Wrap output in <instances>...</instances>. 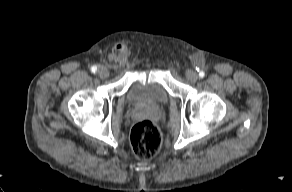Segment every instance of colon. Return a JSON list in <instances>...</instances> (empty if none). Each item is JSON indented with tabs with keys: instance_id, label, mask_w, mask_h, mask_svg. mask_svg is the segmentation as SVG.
<instances>
[{
	"instance_id": "5ec220e1",
	"label": "colon",
	"mask_w": 292,
	"mask_h": 192,
	"mask_svg": "<svg viewBox=\"0 0 292 192\" xmlns=\"http://www.w3.org/2000/svg\"><path fill=\"white\" fill-rule=\"evenodd\" d=\"M131 146L135 156L148 160L156 156L161 148V135L149 120L140 121L131 131Z\"/></svg>"
}]
</instances>
